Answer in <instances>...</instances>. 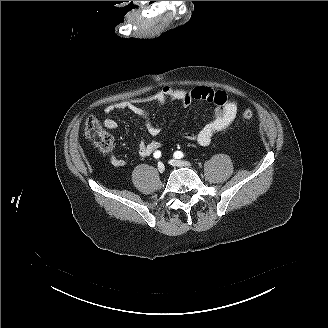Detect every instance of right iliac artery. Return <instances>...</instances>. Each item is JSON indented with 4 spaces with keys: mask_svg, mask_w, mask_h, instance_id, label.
Wrapping results in <instances>:
<instances>
[{
    "mask_svg": "<svg viewBox=\"0 0 328 328\" xmlns=\"http://www.w3.org/2000/svg\"><path fill=\"white\" fill-rule=\"evenodd\" d=\"M161 156V152L160 151H156L155 153H154V157L155 158H159Z\"/></svg>",
    "mask_w": 328,
    "mask_h": 328,
    "instance_id": "82829eb1",
    "label": "right iliac artery"
}]
</instances>
